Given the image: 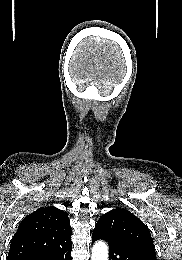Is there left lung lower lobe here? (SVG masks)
Masks as SVG:
<instances>
[{"label": "left lung lower lobe", "mask_w": 182, "mask_h": 260, "mask_svg": "<svg viewBox=\"0 0 182 260\" xmlns=\"http://www.w3.org/2000/svg\"><path fill=\"white\" fill-rule=\"evenodd\" d=\"M97 240L108 242L109 260H157L156 255L147 250L129 245L104 233L93 231L92 242L94 243Z\"/></svg>", "instance_id": "left-lung-lower-lobe-1"}]
</instances>
